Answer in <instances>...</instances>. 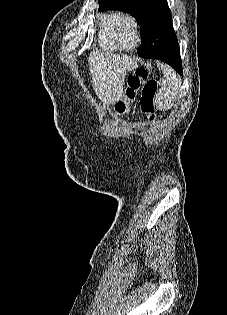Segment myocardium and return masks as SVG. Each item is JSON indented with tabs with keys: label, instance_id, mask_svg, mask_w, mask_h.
I'll list each match as a JSON object with an SVG mask.
<instances>
[{
	"label": "myocardium",
	"instance_id": "f54148a6",
	"mask_svg": "<svg viewBox=\"0 0 227 315\" xmlns=\"http://www.w3.org/2000/svg\"><path fill=\"white\" fill-rule=\"evenodd\" d=\"M125 22H129L133 26L134 32H135L136 41L134 45L131 47H126L122 44L120 34H119L120 27ZM114 36H115L116 43L120 49L125 50V51H133L137 49L142 40L141 27H140V23L138 19L130 13L121 14L114 25Z\"/></svg>",
	"mask_w": 227,
	"mask_h": 315
}]
</instances>
